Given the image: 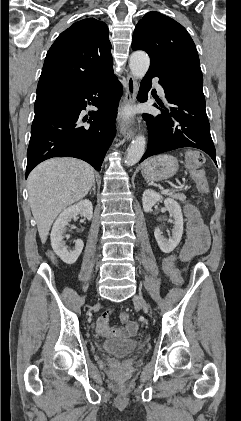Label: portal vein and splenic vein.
<instances>
[{
	"instance_id": "1",
	"label": "portal vein and splenic vein",
	"mask_w": 241,
	"mask_h": 421,
	"mask_svg": "<svg viewBox=\"0 0 241 421\" xmlns=\"http://www.w3.org/2000/svg\"><path fill=\"white\" fill-rule=\"evenodd\" d=\"M171 191H173L172 189H163L162 190V193L163 194H167V193H169V192H171Z\"/></svg>"
}]
</instances>
